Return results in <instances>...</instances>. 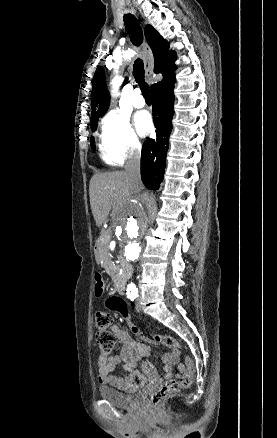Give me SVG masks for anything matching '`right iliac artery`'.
<instances>
[{
  "mask_svg": "<svg viewBox=\"0 0 277 438\" xmlns=\"http://www.w3.org/2000/svg\"><path fill=\"white\" fill-rule=\"evenodd\" d=\"M136 297H137L136 295H129V299H130L131 301H134Z\"/></svg>",
  "mask_w": 277,
  "mask_h": 438,
  "instance_id": "82829eb1",
  "label": "right iliac artery"
}]
</instances>
